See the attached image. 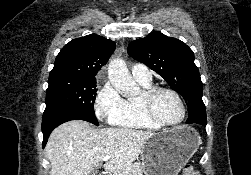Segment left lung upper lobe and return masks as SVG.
<instances>
[{
    "label": "left lung upper lobe",
    "mask_w": 251,
    "mask_h": 175,
    "mask_svg": "<svg viewBox=\"0 0 251 175\" xmlns=\"http://www.w3.org/2000/svg\"><path fill=\"white\" fill-rule=\"evenodd\" d=\"M127 51L161 75L173 90L183 96L187 105H204L203 84L194 63V53L185 43L154 31L145 38L132 41Z\"/></svg>",
    "instance_id": "1"
}]
</instances>
